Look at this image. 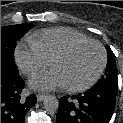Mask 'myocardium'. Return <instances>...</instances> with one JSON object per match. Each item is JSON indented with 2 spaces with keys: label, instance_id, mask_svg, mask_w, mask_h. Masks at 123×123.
<instances>
[{
  "label": "myocardium",
  "instance_id": "f54148a6",
  "mask_svg": "<svg viewBox=\"0 0 123 123\" xmlns=\"http://www.w3.org/2000/svg\"><path fill=\"white\" fill-rule=\"evenodd\" d=\"M88 44H94L99 47V49L101 51V55H102V61H101L100 67H99L98 71L96 72V74L88 82H86L82 85H77V86H66L65 85L64 89L69 92L75 93V92L85 91V90L91 88L93 85H95L97 83V81L101 78V76L103 75V73L106 69V65H107V51H106L104 45L94 39L77 41V42L70 44L66 48L62 49L61 51L57 52L49 60V64L51 65L53 61H55L57 59L65 58V57L69 56L71 53H73L76 49H78L84 45H88Z\"/></svg>",
  "mask_w": 123,
  "mask_h": 123
}]
</instances>
